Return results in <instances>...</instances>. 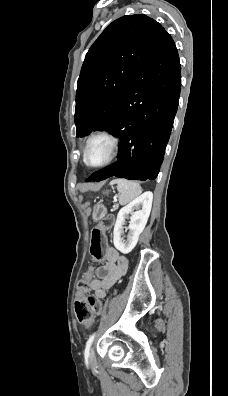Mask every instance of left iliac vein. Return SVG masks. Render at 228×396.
<instances>
[{
	"mask_svg": "<svg viewBox=\"0 0 228 396\" xmlns=\"http://www.w3.org/2000/svg\"><path fill=\"white\" fill-rule=\"evenodd\" d=\"M89 362L91 364H95V362H96V357H95V352H94V348L93 347L90 349Z\"/></svg>",
	"mask_w": 228,
	"mask_h": 396,
	"instance_id": "1",
	"label": "left iliac vein"
}]
</instances>
